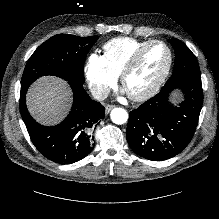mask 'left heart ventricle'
Listing matches in <instances>:
<instances>
[{
  "instance_id": "left-heart-ventricle-1",
  "label": "left heart ventricle",
  "mask_w": 219,
  "mask_h": 219,
  "mask_svg": "<svg viewBox=\"0 0 219 219\" xmlns=\"http://www.w3.org/2000/svg\"><path fill=\"white\" fill-rule=\"evenodd\" d=\"M168 63V53L164 46H152L141 58L125 80V90L132 94L141 93L150 87L164 71Z\"/></svg>"
}]
</instances>
